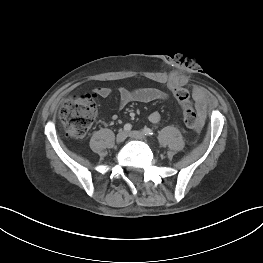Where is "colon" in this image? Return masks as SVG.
<instances>
[{"instance_id":"obj_1","label":"colon","mask_w":263,"mask_h":263,"mask_svg":"<svg viewBox=\"0 0 263 263\" xmlns=\"http://www.w3.org/2000/svg\"><path fill=\"white\" fill-rule=\"evenodd\" d=\"M173 95L180 104L185 125L198 131L201 118L192 106L189 92L175 86ZM96 114V102L93 94H81L66 101L59 110V118L64 126L65 135L70 138H82L93 124Z\"/></svg>"}]
</instances>
